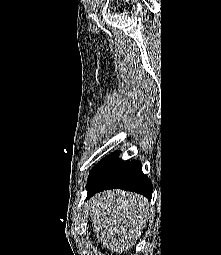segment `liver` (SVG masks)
<instances>
[{
  "mask_svg": "<svg viewBox=\"0 0 221 255\" xmlns=\"http://www.w3.org/2000/svg\"><path fill=\"white\" fill-rule=\"evenodd\" d=\"M151 211L146 198L122 190L104 191L90 199L93 230L98 241L111 253L132 248Z\"/></svg>",
  "mask_w": 221,
  "mask_h": 255,
  "instance_id": "obj_1",
  "label": "liver"
}]
</instances>
